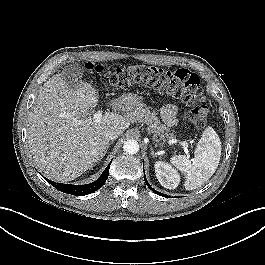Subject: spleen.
Masks as SVG:
<instances>
[{
  "label": "spleen",
  "instance_id": "3e777b00",
  "mask_svg": "<svg viewBox=\"0 0 265 265\" xmlns=\"http://www.w3.org/2000/svg\"><path fill=\"white\" fill-rule=\"evenodd\" d=\"M221 141L212 127H207L196 147L194 158L176 155L172 165L185 174V189L193 190L207 182L215 173L221 157Z\"/></svg>",
  "mask_w": 265,
  "mask_h": 265
}]
</instances>
